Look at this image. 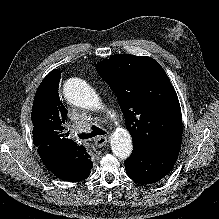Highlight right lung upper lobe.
I'll return each instance as SVG.
<instances>
[{
	"label": "right lung upper lobe",
	"mask_w": 219,
	"mask_h": 219,
	"mask_svg": "<svg viewBox=\"0 0 219 219\" xmlns=\"http://www.w3.org/2000/svg\"><path fill=\"white\" fill-rule=\"evenodd\" d=\"M60 72L51 71L41 82L32 107L33 143L41 160L55 176L76 182L82 181L92 161L85 147L67 138L64 124L67 110L60 101L58 86Z\"/></svg>",
	"instance_id": "cb5924a9"
}]
</instances>
